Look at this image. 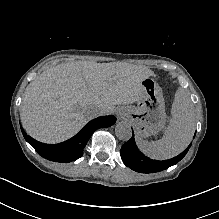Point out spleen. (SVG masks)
<instances>
[{"mask_svg": "<svg viewBox=\"0 0 219 219\" xmlns=\"http://www.w3.org/2000/svg\"><path fill=\"white\" fill-rule=\"evenodd\" d=\"M195 108L187 90L179 88L172 106V119L161 140L145 141L136 137L138 149L152 160H169L190 144L195 132Z\"/></svg>", "mask_w": 219, "mask_h": 219, "instance_id": "3e777b00", "label": "spleen"}]
</instances>
